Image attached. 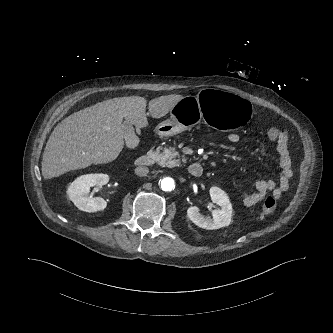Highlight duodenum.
<instances>
[{
	"mask_svg": "<svg viewBox=\"0 0 333 333\" xmlns=\"http://www.w3.org/2000/svg\"><path fill=\"white\" fill-rule=\"evenodd\" d=\"M154 155L141 156L136 161V166L138 169L143 170L154 163ZM188 171L193 177H200L203 174V167L198 162H193L189 165Z\"/></svg>",
	"mask_w": 333,
	"mask_h": 333,
	"instance_id": "obj_1",
	"label": "duodenum"
}]
</instances>
